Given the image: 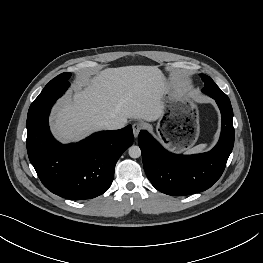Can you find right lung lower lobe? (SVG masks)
<instances>
[{
	"mask_svg": "<svg viewBox=\"0 0 263 263\" xmlns=\"http://www.w3.org/2000/svg\"><path fill=\"white\" fill-rule=\"evenodd\" d=\"M54 103L28 115L27 152L38 177L52 193L83 200L104 193L115 165L133 143L132 127L101 131L77 143L63 145L52 136L48 115Z\"/></svg>",
	"mask_w": 263,
	"mask_h": 263,
	"instance_id": "1",
	"label": "right lung lower lobe"
}]
</instances>
